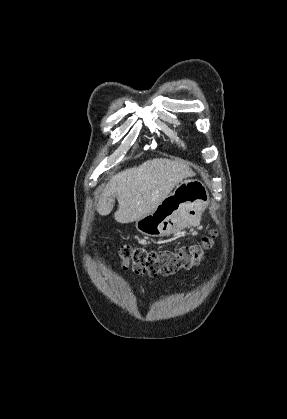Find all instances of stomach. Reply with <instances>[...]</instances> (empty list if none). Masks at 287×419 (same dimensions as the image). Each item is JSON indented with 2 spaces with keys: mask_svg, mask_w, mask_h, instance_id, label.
<instances>
[{
  "mask_svg": "<svg viewBox=\"0 0 287 419\" xmlns=\"http://www.w3.org/2000/svg\"><path fill=\"white\" fill-rule=\"evenodd\" d=\"M208 203L205 185L197 179L185 180L151 213L138 219L136 229L146 236H170L200 218Z\"/></svg>",
  "mask_w": 287,
  "mask_h": 419,
  "instance_id": "stomach-1",
  "label": "stomach"
}]
</instances>
